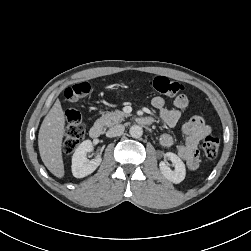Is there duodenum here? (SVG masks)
Here are the masks:
<instances>
[{
  "mask_svg": "<svg viewBox=\"0 0 251 251\" xmlns=\"http://www.w3.org/2000/svg\"><path fill=\"white\" fill-rule=\"evenodd\" d=\"M137 122L141 125L148 126V125L152 124L153 119L149 116H142V117L137 118ZM102 133H103V129L100 125H94L89 130V136L92 139L99 138L102 135Z\"/></svg>",
  "mask_w": 251,
  "mask_h": 251,
  "instance_id": "1",
  "label": "duodenum"
}]
</instances>
